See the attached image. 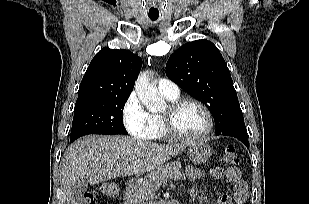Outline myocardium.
<instances>
[{
    "label": "myocardium",
    "mask_w": 309,
    "mask_h": 204,
    "mask_svg": "<svg viewBox=\"0 0 309 204\" xmlns=\"http://www.w3.org/2000/svg\"><path fill=\"white\" fill-rule=\"evenodd\" d=\"M188 103H192L200 107L202 111L204 112L206 119H207L206 129L202 133L198 135H194V136L180 133L176 129L175 124H174L175 114L182 106ZM161 120L163 123V127L165 129V132L173 140H182V141H188V142L199 141L209 136L214 128V119H213L210 109L203 102H201L198 99L192 98V97L180 98V99H175L171 101L168 104L166 111L161 115Z\"/></svg>",
    "instance_id": "1"
}]
</instances>
